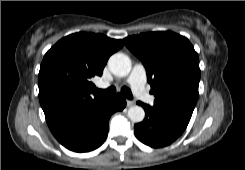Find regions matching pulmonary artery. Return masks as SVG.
<instances>
[{"label": "pulmonary artery", "instance_id": "1", "mask_svg": "<svg viewBox=\"0 0 245 170\" xmlns=\"http://www.w3.org/2000/svg\"><path fill=\"white\" fill-rule=\"evenodd\" d=\"M147 78V72L143 65L136 64L131 74L129 75L127 81L130 84L133 92L135 95H137L140 99L146 101L149 104H153L155 101L154 96H150L147 93L145 83ZM105 87V85H102Z\"/></svg>", "mask_w": 245, "mask_h": 170}]
</instances>
